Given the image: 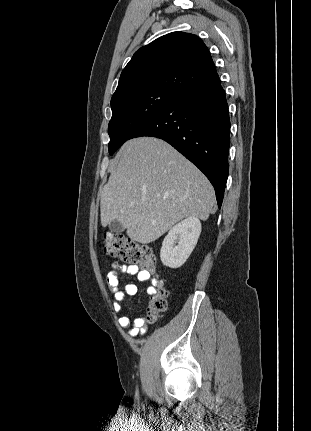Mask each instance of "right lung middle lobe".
I'll return each mask as SVG.
<instances>
[{"mask_svg": "<svg viewBox=\"0 0 311 431\" xmlns=\"http://www.w3.org/2000/svg\"><path fill=\"white\" fill-rule=\"evenodd\" d=\"M178 96L177 93L159 89H141L112 97V118L108 126L110 155L129 140L130 135L141 124Z\"/></svg>", "mask_w": 311, "mask_h": 431, "instance_id": "dd1d6c3e", "label": "right lung middle lobe"}]
</instances>
